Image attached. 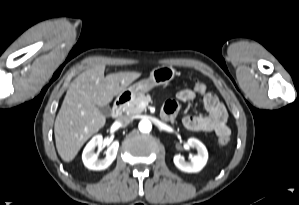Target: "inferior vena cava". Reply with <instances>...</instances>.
Returning a JSON list of instances; mask_svg holds the SVG:
<instances>
[{"label": "inferior vena cava", "mask_w": 299, "mask_h": 205, "mask_svg": "<svg viewBox=\"0 0 299 205\" xmlns=\"http://www.w3.org/2000/svg\"><path fill=\"white\" fill-rule=\"evenodd\" d=\"M131 121V118L129 116H126V115H123V116H120L118 119H117V122L121 125V126H126L130 123Z\"/></svg>", "instance_id": "1"}]
</instances>
